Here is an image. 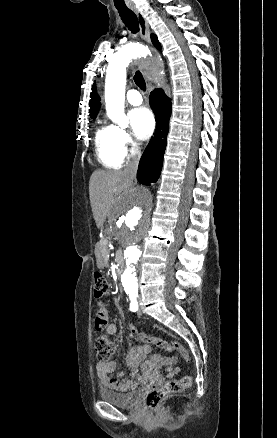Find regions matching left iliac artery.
I'll return each mask as SVG.
<instances>
[{
	"instance_id": "obj_1",
	"label": "left iliac artery",
	"mask_w": 277,
	"mask_h": 438,
	"mask_svg": "<svg viewBox=\"0 0 277 438\" xmlns=\"http://www.w3.org/2000/svg\"><path fill=\"white\" fill-rule=\"evenodd\" d=\"M130 310L136 312L138 310L137 295H130Z\"/></svg>"
}]
</instances>
